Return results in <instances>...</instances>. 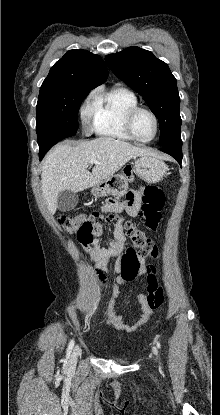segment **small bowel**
<instances>
[{"label": "small bowel", "instance_id": "1", "mask_svg": "<svg viewBox=\"0 0 220 415\" xmlns=\"http://www.w3.org/2000/svg\"><path fill=\"white\" fill-rule=\"evenodd\" d=\"M141 202V194L139 191L128 192L126 195L125 204L112 205L105 203L101 206L102 215L107 212H118V213H127L133 217L138 215L139 207ZM124 218H120L114 226V238L111 239L106 247L100 246V237L103 234V227L100 222H97L90 226L92 230L91 238L87 239L85 234L80 231L77 233V239L79 243L86 248L91 250V258L94 262L95 276L101 286L107 288V295L109 297L108 306L106 310L107 319L106 324L116 330H121L127 333H132L137 331L141 326L146 324L153 312L157 308L149 305L147 301V294L143 293L139 295V301L141 303L142 314L138 321L132 325H126L124 323L123 317L120 314H117L114 309L115 299L119 294V285L122 280L117 276L115 283L107 287V281L105 273H115L119 274L121 270L120 265V256L125 246L126 237L123 230ZM142 271H148V266L145 265V261L141 259Z\"/></svg>", "mask_w": 220, "mask_h": 415}]
</instances>
